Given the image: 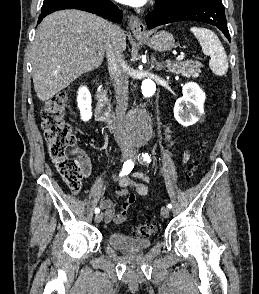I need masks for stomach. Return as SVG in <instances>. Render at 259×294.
Instances as JSON below:
<instances>
[{
    "label": "stomach",
    "instance_id": "1",
    "mask_svg": "<svg viewBox=\"0 0 259 294\" xmlns=\"http://www.w3.org/2000/svg\"><path fill=\"white\" fill-rule=\"evenodd\" d=\"M136 37L145 42L153 50L159 52L170 51L175 46L173 35L167 31H159L147 35H136Z\"/></svg>",
    "mask_w": 259,
    "mask_h": 294
}]
</instances>
